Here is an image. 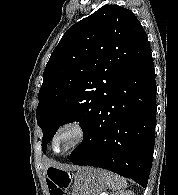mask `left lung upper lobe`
<instances>
[{
	"label": "left lung upper lobe",
	"instance_id": "obj_1",
	"mask_svg": "<svg viewBox=\"0 0 178 195\" xmlns=\"http://www.w3.org/2000/svg\"><path fill=\"white\" fill-rule=\"evenodd\" d=\"M150 52L139 20L118 5H104L71 26L50 56L38 94L43 152L65 123L80 122L85 134L114 86Z\"/></svg>",
	"mask_w": 178,
	"mask_h": 195
}]
</instances>
